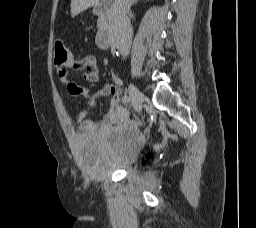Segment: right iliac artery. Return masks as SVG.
Returning a JSON list of instances; mask_svg holds the SVG:
<instances>
[{
    "mask_svg": "<svg viewBox=\"0 0 256 228\" xmlns=\"http://www.w3.org/2000/svg\"><path fill=\"white\" fill-rule=\"evenodd\" d=\"M122 101L124 103H130L131 99L129 96H127L126 94L122 97Z\"/></svg>",
    "mask_w": 256,
    "mask_h": 228,
    "instance_id": "1",
    "label": "right iliac artery"
}]
</instances>
